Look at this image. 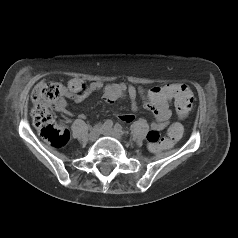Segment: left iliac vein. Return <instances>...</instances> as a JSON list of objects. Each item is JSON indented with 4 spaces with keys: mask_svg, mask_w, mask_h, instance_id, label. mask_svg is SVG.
Segmentation results:
<instances>
[{
    "mask_svg": "<svg viewBox=\"0 0 238 238\" xmlns=\"http://www.w3.org/2000/svg\"><path fill=\"white\" fill-rule=\"evenodd\" d=\"M102 133L106 136L113 137L119 141L122 140V135L120 132L116 131L115 129L109 128V129H104Z\"/></svg>",
    "mask_w": 238,
    "mask_h": 238,
    "instance_id": "obj_1",
    "label": "left iliac vein"
}]
</instances>
